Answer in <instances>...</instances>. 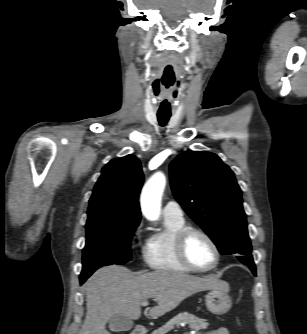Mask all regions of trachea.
I'll use <instances>...</instances> for the list:
<instances>
[{
    "instance_id": "obj_1",
    "label": "trachea",
    "mask_w": 307,
    "mask_h": 334,
    "mask_svg": "<svg viewBox=\"0 0 307 334\" xmlns=\"http://www.w3.org/2000/svg\"><path fill=\"white\" fill-rule=\"evenodd\" d=\"M158 118V122L161 126H165L169 119H170V115H157Z\"/></svg>"
}]
</instances>
